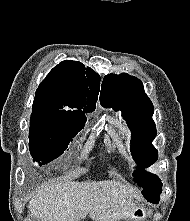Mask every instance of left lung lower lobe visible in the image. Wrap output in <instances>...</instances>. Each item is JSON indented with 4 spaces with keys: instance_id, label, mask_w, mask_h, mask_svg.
Returning a JSON list of instances; mask_svg holds the SVG:
<instances>
[{
    "instance_id": "left-lung-lower-lobe-1",
    "label": "left lung lower lobe",
    "mask_w": 190,
    "mask_h": 221,
    "mask_svg": "<svg viewBox=\"0 0 190 221\" xmlns=\"http://www.w3.org/2000/svg\"><path fill=\"white\" fill-rule=\"evenodd\" d=\"M153 203H158V201H155V202H153Z\"/></svg>"
}]
</instances>
